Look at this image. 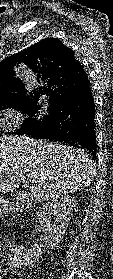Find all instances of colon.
<instances>
[{
  "mask_svg": "<svg viewBox=\"0 0 113 279\" xmlns=\"http://www.w3.org/2000/svg\"><path fill=\"white\" fill-rule=\"evenodd\" d=\"M14 258H17L22 262L24 259V254L13 248H1L0 246V266L9 264L12 260H14Z\"/></svg>",
  "mask_w": 113,
  "mask_h": 279,
  "instance_id": "obj_1",
  "label": "colon"
}]
</instances>
